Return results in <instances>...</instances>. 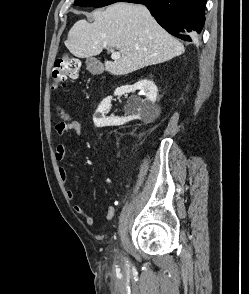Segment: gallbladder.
I'll list each match as a JSON object with an SVG mask.
<instances>
[{"label": "gallbladder", "instance_id": "gallbladder-1", "mask_svg": "<svg viewBox=\"0 0 249 294\" xmlns=\"http://www.w3.org/2000/svg\"><path fill=\"white\" fill-rule=\"evenodd\" d=\"M86 68L87 70L94 75H99L103 73L104 67L102 63L94 57L86 58Z\"/></svg>", "mask_w": 249, "mask_h": 294}]
</instances>
